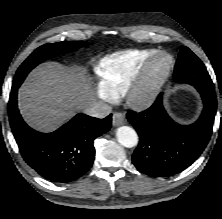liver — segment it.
Instances as JSON below:
<instances>
[{
	"mask_svg": "<svg viewBox=\"0 0 222 219\" xmlns=\"http://www.w3.org/2000/svg\"><path fill=\"white\" fill-rule=\"evenodd\" d=\"M94 100L85 72L78 66L67 67L57 62L35 68L18 93L24 120L42 132L54 131Z\"/></svg>",
	"mask_w": 222,
	"mask_h": 219,
	"instance_id": "6515ba94",
	"label": "liver"
}]
</instances>
